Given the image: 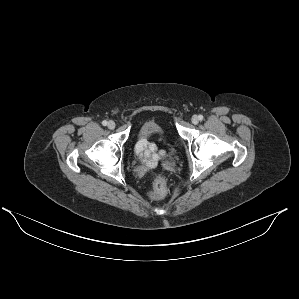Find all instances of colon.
<instances>
[{
    "label": "colon",
    "mask_w": 299,
    "mask_h": 299,
    "mask_svg": "<svg viewBox=\"0 0 299 299\" xmlns=\"http://www.w3.org/2000/svg\"><path fill=\"white\" fill-rule=\"evenodd\" d=\"M167 194L166 179L162 176H156L152 183V189L148 193V196L152 200L163 198Z\"/></svg>",
    "instance_id": "1"
}]
</instances>
